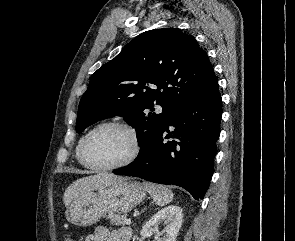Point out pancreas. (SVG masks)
Masks as SVG:
<instances>
[{
  "label": "pancreas",
  "instance_id": "obj_1",
  "mask_svg": "<svg viewBox=\"0 0 295 241\" xmlns=\"http://www.w3.org/2000/svg\"><path fill=\"white\" fill-rule=\"evenodd\" d=\"M107 218L110 220L111 224L117 225V226H124V220L126 219V216H120L119 214H112L109 213L107 215Z\"/></svg>",
  "mask_w": 295,
  "mask_h": 241
}]
</instances>
